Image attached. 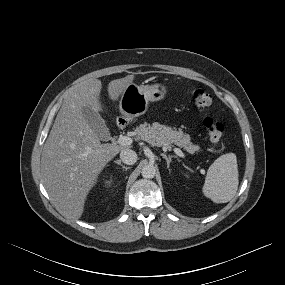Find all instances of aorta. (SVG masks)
Here are the masks:
<instances>
[{"label":"aorta","mask_w":285,"mask_h":285,"mask_svg":"<svg viewBox=\"0 0 285 285\" xmlns=\"http://www.w3.org/2000/svg\"><path fill=\"white\" fill-rule=\"evenodd\" d=\"M141 174H142L143 178L152 179V178H154V176L156 174V169L153 165L148 164L142 168Z\"/></svg>","instance_id":"762f6f07"}]
</instances>
